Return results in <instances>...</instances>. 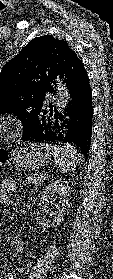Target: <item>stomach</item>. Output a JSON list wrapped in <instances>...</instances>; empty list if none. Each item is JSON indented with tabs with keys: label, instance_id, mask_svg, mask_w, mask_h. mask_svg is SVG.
Here are the masks:
<instances>
[{
	"label": "stomach",
	"instance_id": "obj_1",
	"mask_svg": "<svg viewBox=\"0 0 113 279\" xmlns=\"http://www.w3.org/2000/svg\"><path fill=\"white\" fill-rule=\"evenodd\" d=\"M51 157L41 145L27 144L15 148L10 152L9 160L22 169L35 170L45 166Z\"/></svg>",
	"mask_w": 113,
	"mask_h": 279
}]
</instances>
